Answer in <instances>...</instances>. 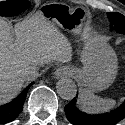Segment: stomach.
I'll return each mask as SVG.
<instances>
[{"mask_svg": "<svg viewBox=\"0 0 125 125\" xmlns=\"http://www.w3.org/2000/svg\"><path fill=\"white\" fill-rule=\"evenodd\" d=\"M50 6H44L41 11L49 22L85 39L81 53L84 66L76 70L80 87L91 92L108 88L117 75V57L104 38L89 35L87 11L84 8H70L66 5L61 8Z\"/></svg>", "mask_w": 125, "mask_h": 125, "instance_id": "0dacf381", "label": "stomach"}]
</instances>
